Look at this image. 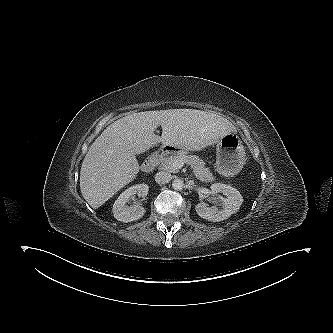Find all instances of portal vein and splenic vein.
<instances>
[{
	"instance_id": "18ae733b",
	"label": "portal vein and splenic vein",
	"mask_w": 333,
	"mask_h": 333,
	"mask_svg": "<svg viewBox=\"0 0 333 333\" xmlns=\"http://www.w3.org/2000/svg\"><path fill=\"white\" fill-rule=\"evenodd\" d=\"M183 165H184V162L182 160H176L173 163V166L176 167V168H181V167H183Z\"/></svg>"
}]
</instances>
